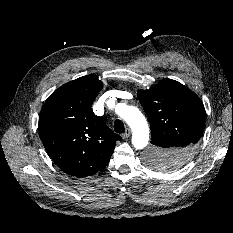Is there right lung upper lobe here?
<instances>
[{
    "mask_svg": "<svg viewBox=\"0 0 233 233\" xmlns=\"http://www.w3.org/2000/svg\"><path fill=\"white\" fill-rule=\"evenodd\" d=\"M102 82L83 76L55 90L39 116L42 143L65 173L82 178L93 175L110 161L121 137L92 111Z\"/></svg>",
    "mask_w": 233,
    "mask_h": 233,
    "instance_id": "right-lung-upper-lobe-1",
    "label": "right lung upper lobe"
}]
</instances>
